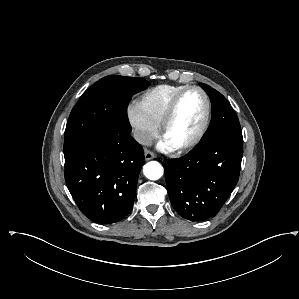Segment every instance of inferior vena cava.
<instances>
[{
    "label": "inferior vena cava",
    "mask_w": 299,
    "mask_h": 299,
    "mask_svg": "<svg viewBox=\"0 0 299 299\" xmlns=\"http://www.w3.org/2000/svg\"><path fill=\"white\" fill-rule=\"evenodd\" d=\"M133 138L142 145H151L152 144V137L144 131L135 130L133 132Z\"/></svg>",
    "instance_id": "obj_1"
}]
</instances>
